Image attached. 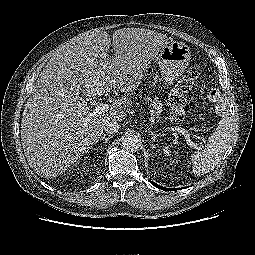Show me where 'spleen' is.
I'll list each match as a JSON object with an SVG mask.
<instances>
[{
    "instance_id": "obj_1",
    "label": "spleen",
    "mask_w": 255,
    "mask_h": 255,
    "mask_svg": "<svg viewBox=\"0 0 255 255\" xmlns=\"http://www.w3.org/2000/svg\"><path fill=\"white\" fill-rule=\"evenodd\" d=\"M232 123L229 118H222L209 138L206 148L192 154L193 173L204 175L212 171L222 159L232 138Z\"/></svg>"
}]
</instances>
